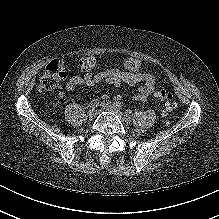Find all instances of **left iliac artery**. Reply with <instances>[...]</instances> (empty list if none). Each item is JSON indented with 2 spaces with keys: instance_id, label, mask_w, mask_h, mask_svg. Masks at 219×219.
<instances>
[{
  "instance_id": "left-iliac-artery-1",
  "label": "left iliac artery",
  "mask_w": 219,
  "mask_h": 219,
  "mask_svg": "<svg viewBox=\"0 0 219 219\" xmlns=\"http://www.w3.org/2000/svg\"><path fill=\"white\" fill-rule=\"evenodd\" d=\"M114 105H116V106L119 107V108L122 107V104H121V102H119V101H116V102L114 103Z\"/></svg>"
}]
</instances>
